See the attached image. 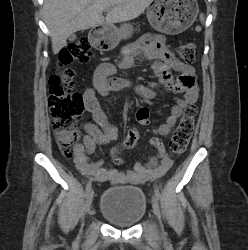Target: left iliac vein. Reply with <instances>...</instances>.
<instances>
[{
    "label": "left iliac vein",
    "mask_w": 248,
    "mask_h": 250,
    "mask_svg": "<svg viewBox=\"0 0 248 250\" xmlns=\"http://www.w3.org/2000/svg\"><path fill=\"white\" fill-rule=\"evenodd\" d=\"M152 206H153V212H154L155 216L157 217L158 221L161 223L160 207H159V203L157 201V198L155 196H153V199H152Z\"/></svg>",
    "instance_id": "left-iliac-vein-1"
}]
</instances>
